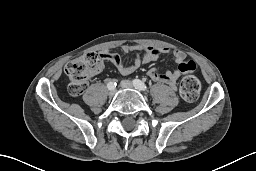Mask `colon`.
I'll return each instance as SVG.
<instances>
[{
	"label": "colon",
	"instance_id": "5ec220e1",
	"mask_svg": "<svg viewBox=\"0 0 256 171\" xmlns=\"http://www.w3.org/2000/svg\"><path fill=\"white\" fill-rule=\"evenodd\" d=\"M102 66V59L99 54L90 52L81 57L68 62L65 66V74L68 78V91L71 95H80L91 74L96 72ZM181 70L185 74L180 83V95L188 102H194L198 99L200 93V82L192 74L195 70V64L192 61L181 65Z\"/></svg>",
	"mask_w": 256,
	"mask_h": 171
}]
</instances>
